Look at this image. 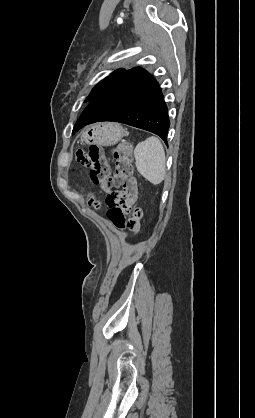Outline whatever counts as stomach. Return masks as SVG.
Returning <instances> with one entry per match:
<instances>
[{
  "label": "stomach",
  "instance_id": "obj_1",
  "mask_svg": "<svg viewBox=\"0 0 255 418\" xmlns=\"http://www.w3.org/2000/svg\"><path fill=\"white\" fill-rule=\"evenodd\" d=\"M124 133L120 126L112 123H101L88 128L83 140L88 144L111 146L116 144Z\"/></svg>",
  "mask_w": 255,
  "mask_h": 418
}]
</instances>
